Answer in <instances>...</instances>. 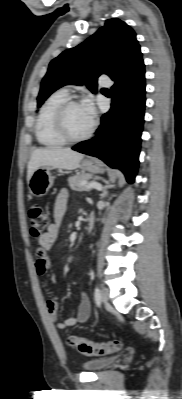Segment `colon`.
Returning a JSON list of instances; mask_svg holds the SVG:
<instances>
[{"label": "colon", "mask_w": 182, "mask_h": 399, "mask_svg": "<svg viewBox=\"0 0 182 399\" xmlns=\"http://www.w3.org/2000/svg\"><path fill=\"white\" fill-rule=\"evenodd\" d=\"M27 216L32 236L39 237L47 231L50 218L48 212L41 205L34 204L30 206L27 211ZM67 344L87 356L112 354L119 351L122 347V342L120 340L95 342L77 336L68 337Z\"/></svg>", "instance_id": "1"}]
</instances>
